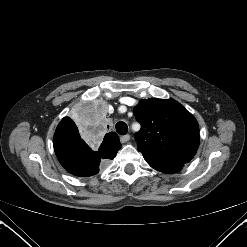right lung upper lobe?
Returning a JSON list of instances; mask_svg holds the SVG:
<instances>
[{
  "instance_id": "obj_1",
  "label": "right lung upper lobe",
  "mask_w": 247,
  "mask_h": 247,
  "mask_svg": "<svg viewBox=\"0 0 247 247\" xmlns=\"http://www.w3.org/2000/svg\"><path fill=\"white\" fill-rule=\"evenodd\" d=\"M56 133H69L73 135H78V128L75 123L69 117H65L59 123ZM121 147L119 138L116 133L110 132L105 135L102 144L100 145L99 149L105 152H111L119 150Z\"/></svg>"
}]
</instances>
